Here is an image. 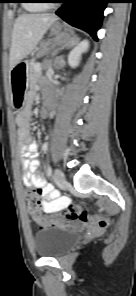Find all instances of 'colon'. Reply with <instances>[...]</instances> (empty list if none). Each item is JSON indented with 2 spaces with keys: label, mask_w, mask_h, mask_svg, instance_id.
I'll return each mask as SVG.
<instances>
[{
  "label": "colon",
  "mask_w": 136,
  "mask_h": 296,
  "mask_svg": "<svg viewBox=\"0 0 136 296\" xmlns=\"http://www.w3.org/2000/svg\"><path fill=\"white\" fill-rule=\"evenodd\" d=\"M40 191H28L26 193V205L33 219L41 226H56L69 220H79L85 224H92L101 228L108 227L110 221L102 215H91L79 204H67L61 211L50 215H43L39 209L41 206Z\"/></svg>",
  "instance_id": "obj_1"
}]
</instances>
